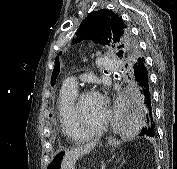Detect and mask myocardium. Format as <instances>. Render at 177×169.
Returning <instances> with one entry per match:
<instances>
[{"label": "myocardium", "instance_id": "1", "mask_svg": "<svg viewBox=\"0 0 177 169\" xmlns=\"http://www.w3.org/2000/svg\"><path fill=\"white\" fill-rule=\"evenodd\" d=\"M88 95H94V93L88 89H84L80 91L77 94L73 102V105H72V118H73L75 130L78 136L84 137V138L100 135L108 128L110 120H111V111L109 107L105 105V119L100 126L93 128V129H86L82 126L80 115H79V106H80L82 99Z\"/></svg>", "mask_w": 177, "mask_h": 169}]
</instances>
